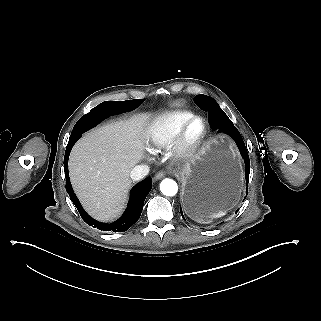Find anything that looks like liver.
Returning <instances> with one entry per match:
<instances>
[{
    "instance_id": "6515ba94",
    "label": "liver",
    "mask_w": 321,
    "mask_h": 321,
    "mask_svg": "<svg viewBox=\"0 0 321 321\" xmlns=\"http://www.w3.org/2000/svg\"><path fill=\"white\" fill-rule=\"evenodd\" d=\"M144 119L134 118L92 131L72 150L71 181L77 195L98 219L108 220L123 208L130 171L141 158L139 134Z\"/></svg>"
}]
</instances>
